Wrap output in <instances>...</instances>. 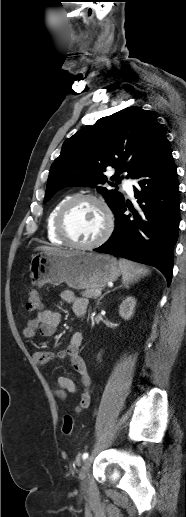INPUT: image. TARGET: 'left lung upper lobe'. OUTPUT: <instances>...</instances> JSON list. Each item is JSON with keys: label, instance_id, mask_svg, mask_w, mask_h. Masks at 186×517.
I'll return each instance as SVG.
<instances>
[{"label": "left lung upper lobe", "instance_id": "obj_1", "mask_svg": "<svg viewBox=\"0 0 186 517\" xmlns=\"http://www.w3.org/2000/svg\"><path fill=\"white\" fill-rule=\"evenodd\" d=\"M165 137L158 122L135 106L82 128L65 140L60 156L53 162L44 203L62 188L91 186L98 188L115 213L125 199L116 190L101 186L108 182L103 172L108 167L114 168L111 180L115 182H119L122 172L131 178Z\"/></svg>", "mask_w": 186, "mask_h": 517}]
</instances>
